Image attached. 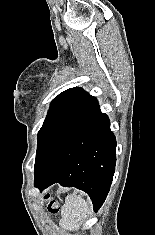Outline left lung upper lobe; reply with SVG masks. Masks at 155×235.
<instances>
[{
	"instance_id": "5c2ea615",
	"label": "left lung upper lobe",
	"mask_w": 155,
	"mask_h": 235,
	"mask_svg": "<svg viewBox=\"0 0 155 235\" xmlns=\"http://www.w3.org/2000/svg\"><path fill=\"white\" fill-rule=\"evenodd\" d=\"M97 99L83 89L70 88L53 99L38 132L36 174L59 143L97 107Z\"/></svg>"
}]
</instances>
